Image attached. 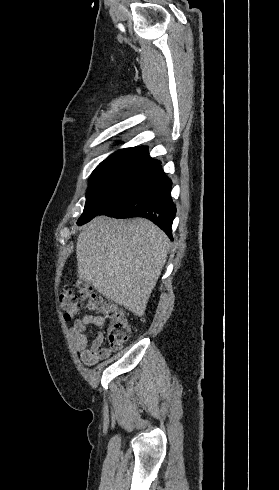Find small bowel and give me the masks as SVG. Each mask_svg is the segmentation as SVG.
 I'll return each mask as SVG.
<instances>
[{
    "label": "small bowel",
    "instance_id": "c3829d8e",
    "mask_svg": "<svg viewBox=\"0 0 279 490\" xmlns=\"http://www.w3.org/2000/svg\"><path fill=\"white\" fill-rule=\"evenodd\" d=\"M105 323L106 319L104 317L87 314L77 319L71 328V342L86 365H95L108 359L111 355V350L102 346L105 340L103 331H99L92 341H89L87 335L88 325L93 324L101 327Z\"/></svg>",
    "mask_w": 279,
    "mask_h": 490
}]
</instances>
